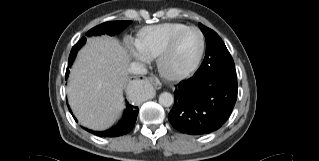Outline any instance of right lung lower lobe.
I'll list each match as a JSON object with an SVG mask.
<instances>
[{
	"instance_id": "obj_1",
	"label": "right lung lower lobe",
	"mask_w": 319,
	"mask_h": 161,
	"mask_svg": "<svg viewBox=\"0 0 319 161\" xmlns=\"http://www.w3.org/2000/svg\"><path fill=\"white\" fill-rule=\"evenodd\" d=\"M138 112H139L138 107H134L127 103V109L124 112L123 118L115 127L103 132H94L89 129H86V130L88 132L94 133L95 135L103 136V137H116V136L125 135L133 129L137 119Z\"/></svg>"
}]
</instances>
